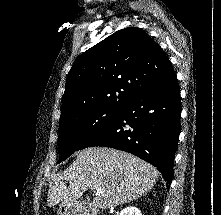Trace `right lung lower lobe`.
Here are the masks:
<instances>
[{
    "instance_id": "right-lung-lower-lobe-1",
    "label": "right lung lower lobe",
    "mask_w": 221,
    "mask_h": 215,
    "mask_svg": "<svg viewBox=\"0 0 221 215\" xmlns=\"http://www.w3.org/2000/svg\"><path fill=\"white\" fill-rule=\"evenodd\" d=\"M180 89L175 71L121 109L108 127L85 140L78 150L104 146L129 152L173 178V160L180 134Z\"/></svg>"
}]
</instances>
